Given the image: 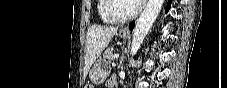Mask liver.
<instances>
[{
  "mask_svg": "<svg viewBox=\"0 0 227 88\" xmlns=\"http://www.w3.org/2000/svg\"><path fill=\"white\" fill-rule=\"evenodd\" d=\"M117 30V27H105L101 25H92L88 28L85 43L86 71H89L102 51L108 46L113 36L117 33Z\"/></svg>",
  "mask_w": 227,
  "mask_h": 88,
  "instance_id": "6515ba94",
  "label": "liver"
}]
</instances>
